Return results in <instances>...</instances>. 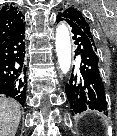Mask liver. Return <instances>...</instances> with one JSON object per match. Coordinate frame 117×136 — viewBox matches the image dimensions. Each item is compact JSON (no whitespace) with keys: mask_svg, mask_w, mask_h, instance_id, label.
<instances>
[{"mask_svg":"<svg viewBox=\"0 0 117 136\" xmlns=\"http://www.w3.org/2000/svg\"><path fill=\"white\" fill-rule=\"evenodd\" d=\"M21 120L20 104L0 97V136H15Z\"/></svg>","mask_w":117,"mask_h":136,"instance_id":"obj_1","label":"liver"}]
</instances>
